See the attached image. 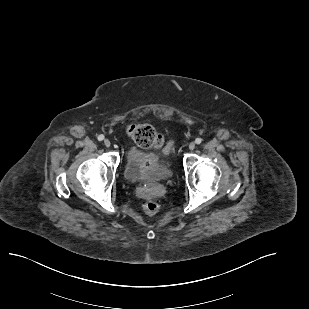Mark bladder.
Here are the masks:
<instances>
[{
	"label": "bladder",
	"instance_id": "1",
	"mask_svg": "<svg viewBox=\"0 0 309 309\" xmlns=\"http://www.w3.org/2000/svg\"><path fill=\"white\" fill-rule=\"evenodd\" d=\"M169 162L159 153L131 146L125 155L124 177L131 183L167 181L172 177Z\"/></svg>",
	"mask_w": 309,
	"mask_h": 309
}]
</instances>
